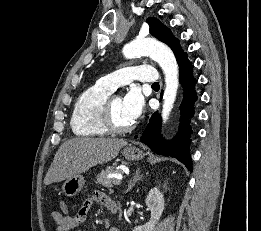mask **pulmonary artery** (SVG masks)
I'll use <instances>...</instances> for the list:
<instances>
[{
	"label": "pulmonary artery",
	"mask_w": 261,
	"mask_h": 231,
	"mask_svg": "<svg viewBox=\"0 0 261 231\" xmlns=\"http://www.w3.org/2000/svg\"><path fill=\"white\" fill-rule=\"evenodd\" d=\"M130 81L155 83L158 81V75L156 69L151 66H127L104 75L98 83L115 91Z\"/></svg>",
	"instance_id": "pulmonary-artery-1"
}]
</instances>
